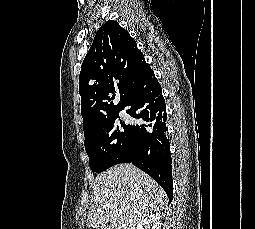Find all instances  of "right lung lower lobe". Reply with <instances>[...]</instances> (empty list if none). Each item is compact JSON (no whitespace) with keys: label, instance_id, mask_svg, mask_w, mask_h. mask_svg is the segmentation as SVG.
<instances>
[{"label":"right lung lower lobe","instance_id":"98d812e1","mask_svg":"<svg viewBox=\"0 0 255 229\" xmlns=\"http://www.w3.org/2000/svg\"><path fill=\"white\" fill-rule=\"evenodd\" d=\"M133 118L132 156L122 163H132L150 175L166 192L169 202L173 200L171 153L166 137V105L162 89L153 70L145 68L131 86L124 108Z\"/></svg>","mask_w":255,"mask_h":229}]
</instances>
